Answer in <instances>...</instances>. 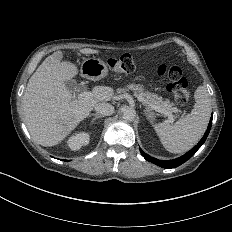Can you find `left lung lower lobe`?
<instances>
[{
    "label": "left lung lower lobe",
    "mask_w": 232,
    "mask_h": 232,
    "mask_svg": "<svg viewBox=\"0 0 232 232\" xmlns=\"http://www.w3.org/2000/svg\"><path fill=\"white\" fill-rule=\"evenodd\" d=\"M212 118H213V115L211 116L208 128H207L204 136L202 137V139L199 141V143L194 148H192L190 151H188L186 154H184L183 156L176 158V159H173V160H159V159H156V158L149 156L148 154H146L145 152H143L140 149L142 156L147 161L152 162L153 164H156L162 168L170 169V168L178 167L179 165H181L184 162H186L187 160H189L198 151V149L203 145V143L206 141L207 136L211 130Z\"/></svg>",
    "instance_id": "0a47b994"
}]
</instances>
